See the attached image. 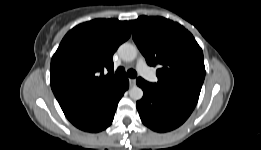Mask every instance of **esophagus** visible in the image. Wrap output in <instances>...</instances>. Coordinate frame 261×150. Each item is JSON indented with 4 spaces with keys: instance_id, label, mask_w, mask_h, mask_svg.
Wrapping results in <instances>:
<instances>
[{
    "instance_id": "esophagus-1",
    "label": "esophagus",
    "mask_w": 261,
    "mask_h": 150,
    "mask_svg": "<svg viewBox=\"0 0 261 150\" xmlns=\"http://www.w3.org/2000/svg\"><path fill=\"white\" fill-rule=\"evenodd\" d=\"M129 83H130V86L133 87L136 85V80L135 79H129Z\"/></svg>"
}]
</instances>
